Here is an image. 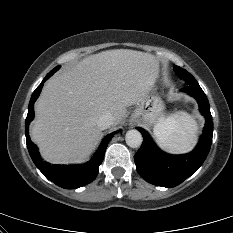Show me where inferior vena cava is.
Returning a JSON list of instances; mask_svg holds the SVG:
<instances>
[{"mask_svg": "<svg viewBox=\"0 0 233 233\" xmlns=\"http://www.w3.org/2000/svg\"><path fill=\"white\" fill-rule=\"evenodd\" d=\"M114 123V117L110 112H106L105 114L101 115L97 120V126L101 130H105L109 128Z\"/></svg>", "mask_w": 233, "mask_h": 233, "instance_id": "inferior-vena-cava-1", "label": "inferior vena cava"}]
</instances>
